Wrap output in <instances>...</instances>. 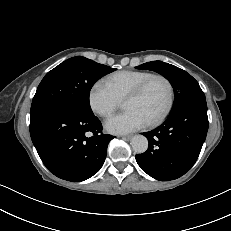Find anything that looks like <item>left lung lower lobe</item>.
<instances>
[{"label": "left lung lower lobe", "mask_w": 231, "mask_h": 231, "mask_svg": "<svg viewBox=\"0 0 231 231\" xmlns=\"http://www.w3.org/2000/svg\"><path fill=\"white\" fill-rule=\"evenodd\" d=\"M204 93L186 97L156 129L145 132L148 150L135 156L140 168L151 177L174 180L195 164L208 131Z\"/></svg>", "instance_id": "1"}]
</instances>
